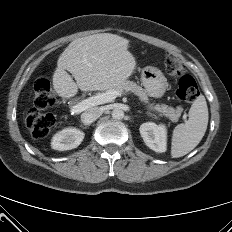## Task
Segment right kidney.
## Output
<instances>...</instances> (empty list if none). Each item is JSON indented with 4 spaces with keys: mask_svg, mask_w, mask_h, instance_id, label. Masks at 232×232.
I'll return each mask as SVG.
<instances>
[{
    "mask_svg": "<svg viewBox=\"0 0 232 232\" xmlns=\"http://www.w3.org/2000/svg\"><path fill=\"white\" fill-rule=\"evenodd\" d=\"M84 133L76 128H66L54 135L51 146L58 151L77 148L84 139Z\"/></svg>",
    "mask_w": 232,
    "mask_h": 232,
    "instance_id": "right-kidney-1",
    "label": "right kidney"
}]
</instances>
